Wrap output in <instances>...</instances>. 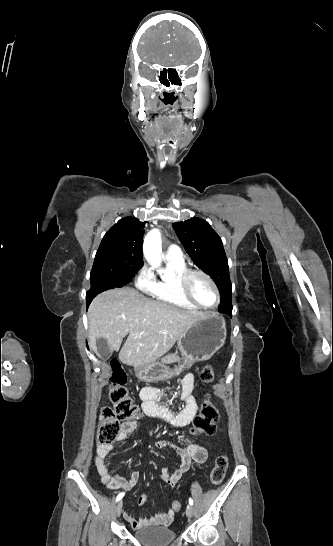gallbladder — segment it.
Listing matches in <instances>:
<instances>
[{"instance_id":"gallbladder-1","label":"gallbladder","mask_w":333,"mask_h":546,"mask_svg":"<svg viewBox=\"0 0 333 546\" xmlns=\"http://www.w3.org/2000/svg\"><path fill=\"white\" fill-rule=\"evenodd\" d=\"M96 345H97V350L99 354L101 355L102 359L104 361L108 360L112 355V351L109 349L107 341L103 338H100L97 340Z\"/></svg>"}]
</instances>
